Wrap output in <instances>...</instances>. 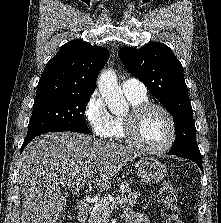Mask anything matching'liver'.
I'll list each match as a JSON object with an SVG mask.
<instances>
[{
    "label": "liver",
    "mask_w": 221,
    "mask_h": 223,
    "mask_svg": "<svg viewBox=\"0 0 221 223\" xmlns=\"http://www.w3.org/2000/svg\"><path fill=\"white\" fill-rule=\"evenodd\" d=\"M143 152L90 135L52 132L34 138L17 164L21 223H56L66 199L60 185L86 180L107 189L110 179Z\"/></svg>",
    "instance_id": "6515ba94"
}]
</instances>
